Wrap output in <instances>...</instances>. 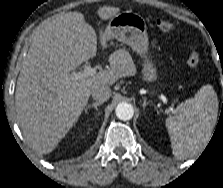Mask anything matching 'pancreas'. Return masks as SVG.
Segmentation results:
<instances>
[{"label": "pancreas", "instance_id": "1", "mask_svg": "<svg viewBox=\"0 0 223 188\" xmlns=\"http://www.w3.org/2000/svg\"><path fill=\"white\" fill-rule=\"evenodd\" d=\"M113 57H120L123 60H127V61L131 62L130 54L126 50H124V49L117 50L113 54Z\"/></svg>", "mask_w": 223, "mask_h": 188}]
</instances>
